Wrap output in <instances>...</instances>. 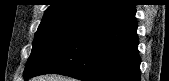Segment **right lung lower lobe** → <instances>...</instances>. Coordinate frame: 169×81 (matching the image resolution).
Instances as JSON below:
<instances>
[{
    "instance_id": "obj_1",
    "label": "right lung lower lobe",
    "mask_w": 169,
    "mask_h": 81,
    "mask_svg": "<svg viewBox=\"0 0 169 81\" xmlns=\"http://www.w3.org/2000/svg\"><path fill=\"white\" fill-rule=\"evenodd\" d=\"M135 13L128 1L85 22L25 80L55 73L82 81H140Z\"/></svg>"
}]
</instances>
